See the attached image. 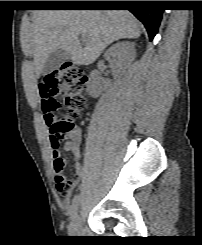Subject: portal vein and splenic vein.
<instances>
[{"label":"portal vein and splenic vein","mask_w":202,"mask_h":245,"mask_svg":"<svg viewBox=\"0 0 202 245\" xmlns=\"http://www.w3.org/2000/svg\"><path fill=\"white\" fill-rule=\"evenodd\" d=\"M82 40L85 42L86 41V37L84 34H81Z\"/></svg>","instance_id":"portal-vein-and-splenic-vein-1"}]
</instances>
